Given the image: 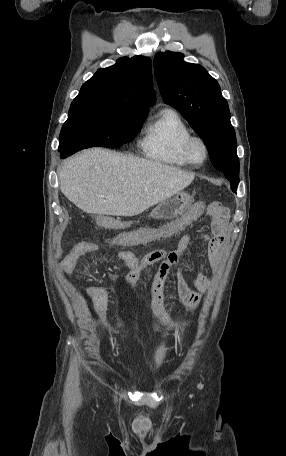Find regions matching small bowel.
Instances as JSON below:
<instances>
[{
  "label": "small bowel",
  "instance_id": "1",
  "mask_svg": "<svg viewBox=\"0 0 286 456\" xmlns=\"http://www.w3.org/2000/svg\"><path fill=\"white\" fill-rule=\"evenodd\" d=\"M204 204L198 203L189 208L182 216L176 218L168 224L160 227L141 228L137 231H128L114 236L110 243L114 246H126L143 244L150 241L171 237L185 230L194 223L204 211ZM212 222L210 229L198 234L200 244L206 247L207 258L210 266L214 269L220 267L228 245L227 224L228 213L220 208L211 210ZM191 238L184 235L179 240L177 247L172 250H155L146 254L142 258H137L132 252L120 250L118 258L129 268V273L124 280L129 291H132L138 282L143 270L154 264H159L155 274L152 291V309L156 318L161 321L168 330L176 331L186 329L188 324L175 323L166 313L164 307V288L165 282L172 271L175 272V289L180 300L191 307H197L203 299V292L210 286V280L198 269L193 268L188 279L181 268L185 253L190 245ZM98 243L91 240L81 241L75 244L65 255L61 262V272L66 277H70L76 268L78 261L87 255L95 254L99 251ZM193 285L198 291L191 288ZM103 291L100 288H90L86 292L88 300L95 301L94 311L96 318L103 329H107L106 305L102 300Z\"/></svg>",
  "mask_w": 286,
  "mask_h": 456
}]
</instances>
